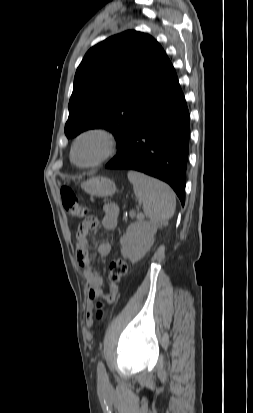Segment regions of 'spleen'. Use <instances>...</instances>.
<instances>
[{"label": "spleen", "mask_w": 253, "mask_h": 413, "mask_svg": "<svg viewBox=\"0 0 253 413\" xmlns=\"http://www.w3.org/2000/svg\"><path fill=\"white\" fill-rule=\"evenodd\" d=\"M128 179L133 185L144 214L158 226H163L173 217L176 198L172 189L165 183L137 171H129Z\"/></svg>", "instance_id": "spleen-1"}]
</instances>
